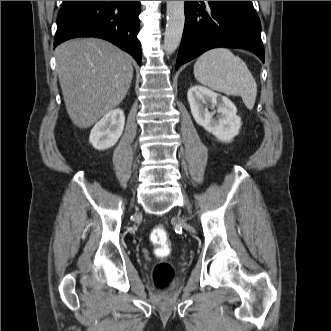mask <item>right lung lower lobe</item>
Here are the masks:
<instances>
[{
    "label": "right lung lower lobe",
    "mask_w": 331,
    "mask_h": 331,
    "mask_svg": "<svg viewBox=\"0 0 331 331\" xmlns=\"http://www.w3.org/2000/svg\"><path fill=\"white\" fill-rule=\"evenodd\" d=\"M140 1H63L54 45L75 37H98L112 42L141 63Z\"/></svg>",
    "instance_id": "98d812e1"
}]
</instances>
